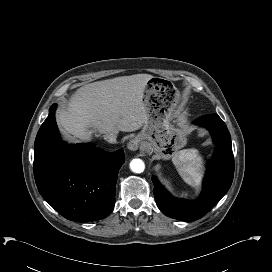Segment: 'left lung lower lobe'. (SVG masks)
Returning <instances> with one entry per match:
<instances>
[{
  "label": "left lung lower lobe",
  "instance_id": "obj_1",
  "mask_svg": "<svg viewBox=\"0 0 272 272\" xmlns=\"http://www.w3.org/2000/svg\"><path fill=\"white\" fill-rule=\"evenodd\" d=\"M196 124L206 127L212 135L216 149L208 163L203 182V190L194 201L174 198L152 177L154 195L159 209L168 217L183 221L201 218L224 196L232 184L234 158L230 133L225 123L217 114L204 115L195 120Z\"/></svg>",
  "mask_w": 272,
  "mask_h": 272
}]
</instances>
